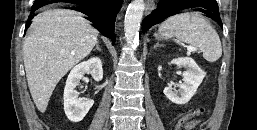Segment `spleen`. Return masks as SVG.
<instances>
[{"mask_svg": "<svg viewBox=\"0 0 257 130\" xmlns=\"http://www.w3.org/2000/svg\"><path fill=\"white\" fill-rule=\"evenodd\" d=\"M159 33L165 38L175 36L179 41L199 49L210 63L222 56V45L216 30L198 13L184 12L169 17L159 26Z\"/></svg>", "mask_w": 257, "mask_h": 130, "instance_id": "3e777b00", "label": "spleen"}]
</instances>
